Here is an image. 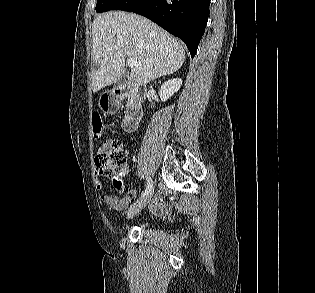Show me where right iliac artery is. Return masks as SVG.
Listing matches in <instances>:
<instances>
[{"label": "right iliac artery", "instance_id": "right-iliac-artery-1", "mask_svg": "<svg viewBox=\"0 0 315 293\" xmlns=\"http://www.w3.org/2000/svg\"><path fill=\"white\" fill-rule=\"evenodd\" d=\"M152 187H153V181L151 177H147V187H146L145 192L142 194L141 198L147 195L151 191Z\"/></svg>", "mask_w": 315, "mask_h": 293}]
</instances>
